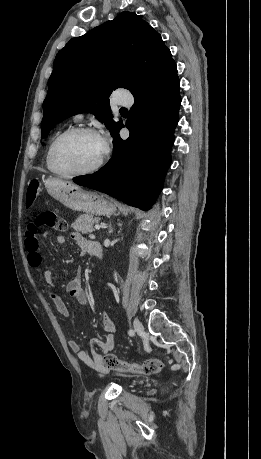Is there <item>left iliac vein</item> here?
Listing matches in <instances>:
<instances>
[{
    "label": "left iliac vein",
    "instance_id": "obj_1",
    "mask_svg": "<svg viewBox=\"0 0 261 459\" xmlns=\"http://www.w3.org/2000/svg\"><path fill=\"white\" fill-rule=\"evenodd\" d=\"M133 326H134V330L140 334V335H144L145 332H144V328H143V325L142 323L138 320V319H135L133 321Z\"/></svg>",
    "mask_w": 261,
    "mask_h": 459
}]
</instances>
